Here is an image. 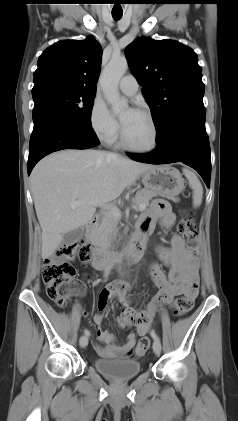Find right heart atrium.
Here are the masks:
<instances>
[{
	"instance_id": "obj_1",
	"label": "right heart atrium",
	"mask_w": 238,
	"mask_h": 421,
	"mask_svg": "<svg viewBox=\"0 0 238 421\" xmlns=\"http://www.w3.org/2000/svg\"><path fill=\"white\" fill-rule=\"evenodd\" d=\"M90 124L94 133L108 143L114 142L119 135V124L106 104L99 98L94 99L90 110Z\"/></svg>"
}]
</instances>
